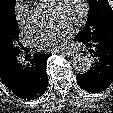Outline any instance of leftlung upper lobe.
I'll return each instance as SVG.
<instances>
[{"mask_svg": "<svg viewBox=\"0 0 113 113\" xmlns=\"http://www.w3.org/2000/svg\"><path fill=\"white\" fill-rule=\"evenodd\" d=\"M89 16L85 27L80 33L86 36L112 35L113 36V11L107 0H88Z\"/></svg>", "mask_w": 113, "mask_h": 113, "instance_id": "obj_1", "label": "left lung upper lobe"}]
</instances>
